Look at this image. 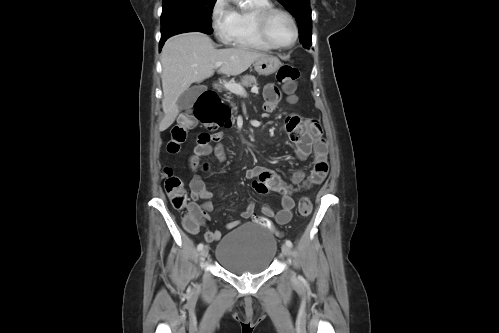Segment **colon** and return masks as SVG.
Masks as SVG:
<instances>
[{"label":"colon","instance_id":"1","mask_svg":"<svg viewBox=\"0 0 499 333\" xmlns=\"http://www.w3.org/2000/svg\"><path fill=\"white\" fill-rule=\"evenodd\" d=\"M299 78V70L291 64L282 65L277 72V79L283 85L284 91L289 95L292 102L296 101L295 91ZM212 102L215 108V116L205 125L211 129L218 126H223L229 121L230 113L227 106L224 105L219 96L214 93ZM196 119L191 116H183L177 124H175L170 132V138L167 143V151L171 154L177 153L181 145L185 142L189 130L196 126ZM164 188L175 208H186V216L184 218L185 227L192 231L198 228L199 221L202 216L200 208L187 203V195L183 181L180 177L174 174L169 167L164 169ZM312 203L308 197H302L298 205V213L306 217L311 213ZM252 221L262 227L275 232L273 223L266 217L253 216Z\"/></svg>","mask_w":499,"mask_h":333}]
</instances>
